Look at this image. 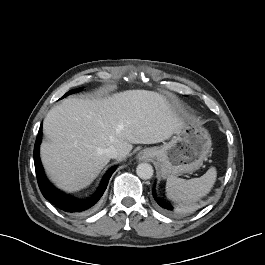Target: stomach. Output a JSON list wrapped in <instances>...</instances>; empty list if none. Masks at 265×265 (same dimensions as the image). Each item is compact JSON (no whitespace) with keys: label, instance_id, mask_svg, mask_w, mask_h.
Masks as SVG:
<instances>
[{"label":"stomach","instance_id":"obj_1","mask_svg":"<svg viewBox=\"0 0 265 265\" xmlns=\"http://www.w3.org/2000/svg\"><path fill=\"white\" fill-rule=\"evenodd\" d=\"M211 146L208 131L188 120L174 133L169 142L149 150L160 174L169 177L199 169L207 159Z\"/></svg>","mask_w":265,"mask_h":265}]
</instances>
